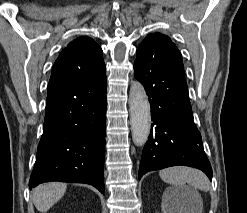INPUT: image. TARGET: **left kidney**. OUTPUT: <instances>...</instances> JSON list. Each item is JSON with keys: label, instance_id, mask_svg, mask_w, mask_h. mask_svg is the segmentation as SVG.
<instances>
[{"label": "left kidney", "instance_id": "obj_1", "mask_svg": "<svg viewBox=\"0 0 247 213\" xmlns=\"http://www.w3.org/2000/svg\"><path fill=\"white\" fill-rule=\"evenodd\" d=\"M168 191V190H167ZM165 192L163 194V205H162V211L163 213H174L177 212L178 209H172L170 206L175 205L178 203V196L175 193V190H171L170 192Z\"/></svg>", "mask_w": 247, "mask_h": 213}]
</instances>
